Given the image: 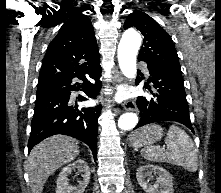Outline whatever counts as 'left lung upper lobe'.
I'll use <instances>...</instances> for the list:
<instances>
[{
  "label": "left lung upper lobe",
  "instance_id": "left-lung-upper-lobe-1",
  "mask_svg": "<svg viewBox=\"0 0 221 193\" xmlns=\"http://www.w3.org/2000/svg\"><path fill=\"white\" fill-rule=\"evenodd\" d=\"M137 28L144 36L138 60L168 71L181 73L177 51L169 34L149 15L141 11L131 13L124 29Z\"/></svg>",
  "mask_w": 221,
  "mask_h": 193
}]
</instances>
